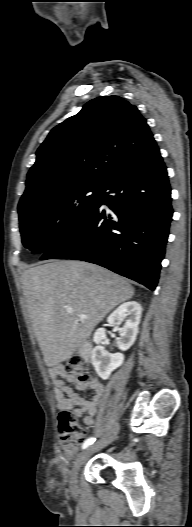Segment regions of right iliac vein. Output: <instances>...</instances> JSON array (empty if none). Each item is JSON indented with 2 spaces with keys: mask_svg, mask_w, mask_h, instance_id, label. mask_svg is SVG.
Returning a JSON list of instances; mask_svg holds the SVG:
<instances>
[{
  "mask_svg": "<svg viewBox=\"0 0 192 527\" xmlns=\"http://www.w3.org/2000/svg\"><path fill=\"white\" fill-rule=\"evenodd\" d=\"M119 432V425L116 424L112 431L110 432L109 436L101 439L100 441L96 442L94 445L88 447L86 450H84L76 459L74 466L72 468L71 474H70V485L73 490L77 489V474L80 469V467L89 459V457L97 452L98 450L104 448L108 444H110L114 439L117 437Z\"/></svg>",
  "mask_w": 192,
  "mask_h": 527,
  "instance_id": "1",
  "label": "right iliac vein"
}]
</instances>
